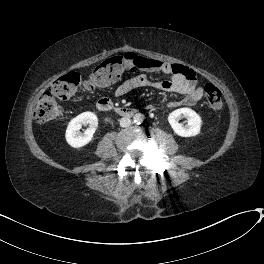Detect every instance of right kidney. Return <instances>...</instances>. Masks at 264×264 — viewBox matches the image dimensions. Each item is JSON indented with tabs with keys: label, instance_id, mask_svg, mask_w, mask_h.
I'll return each instance as SVG.
<instances>
[{
	"label": "right kidney",
	"instance_id": "ca27d5eb",
	"mask_svg": "<svg viewBox=\"0 0 264 264\" xmlns=\"http://www.w3.org/2000/svg\"><path fill=\"white\" fill-rule=\"evenodd\" d=\"M88 124L89 128H87L84 133H81L79 130L82 125ZM97 127V116L93 112H83L69 122L65 133L66 141L74 148L83 147L92 140Z\"/></svg>",
	"mask_w": 264,
	"mask_h": 264
}]
</instances>
